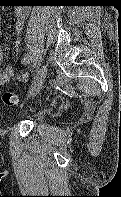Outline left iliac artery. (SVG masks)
I'll use <instances>...</instances> for the list:
<instances>
[{"instance_id": "1", "label": "left iliac artery", "mask_w": 121, "mask_h": 197, "mask_svg": "<svg viewBox=\"0 0 121 197\" xmlns=\"http://www.w3.org/2000/svg\"><path fill=\"white\" fill-rule=\"evenodd\" d=\"M32 59H33V56H32L31 54H26V55L24 56V58L22 59V63H23V64H27V63H29L30 61H32Z\"/></svg>"}]
</instances>
